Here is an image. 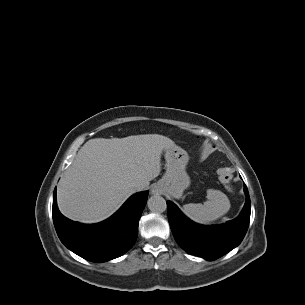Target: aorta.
Listing matches in <instances>:
<instances>
[{
    "instance_id": "762f6f07",
    "label": "aorta",
    "mask_w": 305,
    "mask_h": 305,
    "mask_svg": "<svg viewBox=\"0 0 305 305\" xmlns=\"http://www.w3.org/2000/svg\"><path fill=\"white\" fill-rule=\"evenodd\" d=\"M148 208L153 213H163L167 209L166 201L159 195H154L148 199Z\"/></svg>"
}]
</instances>
